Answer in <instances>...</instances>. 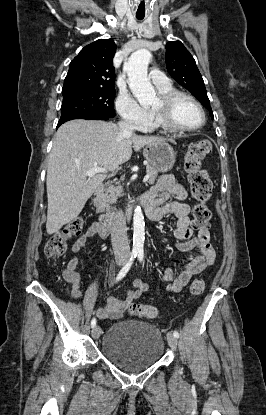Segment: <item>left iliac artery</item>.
Returning <instances> with one entry per match:
<instances>
[{
	"instance_id": "44dca946",
	"label": "left iliac artery",
	"mask_w": 266,
	"mask_h": 415,
	"mask_svg": "<svg viewBox=\"0 0 266 415\" xmlns=\"http://www.w3.org/2000/svg\"><path fill=\"white\" fill-rule=\"evenodd\" d=\"M143 257H144V253H143V251H142V250H140V251L138 252V260H139L140 262H142V261H143ZM173 335H174L176 338H179V333H178L177 331H173Z\"/></svg>"
}]
</instances>
